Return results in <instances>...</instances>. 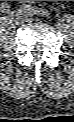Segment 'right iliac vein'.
I'll use <instances>...</instances> for the list:
<instances>
[{
  "label": "right iliac vein",
  "mask_w": 74,
  "mask_h": 122,
  "mask_svg": "<svg viewBox=\"0 0 74 122\" xmlns=\"http://www.w3.org/2000/svg\"><path fill=\"white\" fill-rule=\"evenodd\" d=\"M11 18L15 25H21L24 21L19 13H13Z\"/></svg>",
  "instance_id": "1"
}]
</instances>
